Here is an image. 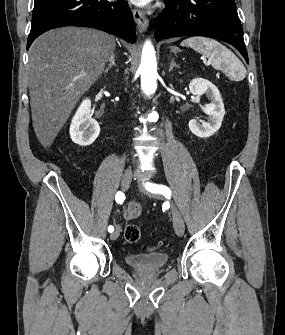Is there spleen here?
Instances as JSON below:
<instances>
[{"mask_svg":"<svg viewBox=\"0 0 285 335\" xmlns=\"http://www.w3.org/2000/svg\"><path fill=\"white\" fill-rule=\"evenodd\" d=\"M180 46H188V48H193L196 52H200V54L209 58L213 68L224 64L225 68H229V70H239L241 78H245L246 76L243 64L235 58L230 50H227L225 46H222L216 40L195 36V38H187V40L181 42Z\"/></svg>","mask_w":285,"mask_h":335,"instance_id":"obj_1","label":"spleen"}]
</instances>
